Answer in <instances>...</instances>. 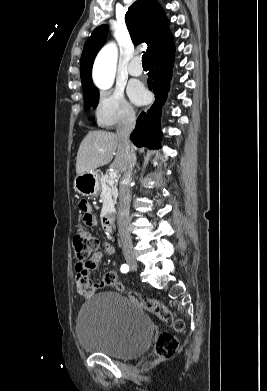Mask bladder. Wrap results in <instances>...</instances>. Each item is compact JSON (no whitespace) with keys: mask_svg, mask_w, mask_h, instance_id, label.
Segmentation results:
<instances>
[{"mask_svg":"<svg viewBox=\"0 0 267 391\" xmlns=\"http://www.w3.org/2000/svg\"><path fill=\"white\" fill-rule=\"evenodd\" d=\"M153 324L136 302L118 292H103L85 302L76 334L91 353L129 359L143 354L153 336Z\"/></svg>","mask_w":267,"mask_h":391,"instance_id":"bladder-1","label":"bladder"}]
</instances>
